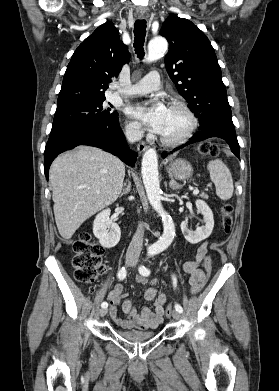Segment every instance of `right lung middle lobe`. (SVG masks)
Returning a JSON list of instances; mask_svg holds the SVG:
<instances>
[{"label": "right lung middle lobe", "mask_w": 279, "mask_h": 391, "mask_svg": "<svg viewBox=\"0 0 279 391\" xmlns=\"http://www.w3.org/2000/svg\"><path fill=\"white\" fill-rule=\"evenodd\" d=\"M104 100L86 101L57 109L52 128L99 123L117 117V112H112L111 108L103 107Z\"/></svg>", "instance_id": "obj_1"}]
</instances>
